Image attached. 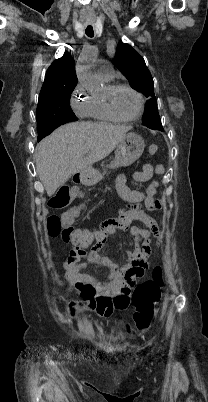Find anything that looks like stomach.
Segmentation results:
<instances>
[{
  "instance_id": "1",
  "label": "stomach",
  "mask_w": 208,
  "mask_h": 402,
  "mask_svg": "<svg viewBox=\"0 0 208 402\" xmlns=\"http://www.w3.org/2000/svg\"><path fill=\"white\" fill-rule=\"evenodd\" d=\"M145 148V142L141 136L137 134H127L124 140L117 146L115 152V160L110 164L109 168H120V166H131L133 162H136L140 156H142ZM85 186H94L102 180V174L99 172H92V174H85L81 178Z\"/></svg>"
}]
</instances>
